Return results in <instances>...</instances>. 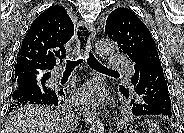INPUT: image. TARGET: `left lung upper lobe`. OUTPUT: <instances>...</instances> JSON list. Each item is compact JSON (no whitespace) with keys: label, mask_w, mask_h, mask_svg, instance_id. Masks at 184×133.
<instances>
[{"label":"left lung upper lobe","mask_w":184,"mask_h":133,"mask_svg":"<svg viewBox=\"0 0 184 133\" xmlns=\"http://www.w3.org/2000/svg\"><path fill=\"white\" fill-rule=\"evenodd\" d=\"M105 31L117 42L120 53L127 54L134 62L133 89L140 80L141 64L152 52H157L155 41L146 25L127 8H117L106 20ZM122 90H132L121 86ZM126 97V96H125ZM129 98L132 99L131 96Z\"/></svg>","instance_id":"5c2ea615"}]
</instances>
